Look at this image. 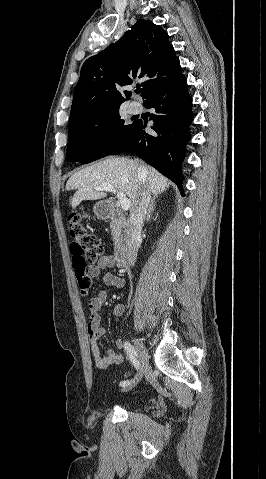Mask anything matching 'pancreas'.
Wrapping results in <instances>:
<instances>
[{"label":"pancreas","mask_w":266,"mask_h":479,"mask_svg":"<svg viewBox=\"0 0 266 479\" xmlns=\"http://www.w3.org/2000/svg\"><path fill=\"white\" fill-rule=\"evenodd\" d=\"M117 224L115 223H112L111 224V229H112V238H113V241H114V249L115 251H119L120 248H121V245H122V236H121V231L119 230V228H117Z\"/></svg>","instance_id":"pancreas-1"}]
</instances>
